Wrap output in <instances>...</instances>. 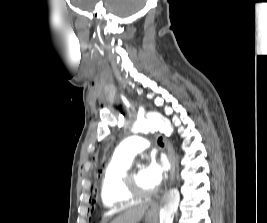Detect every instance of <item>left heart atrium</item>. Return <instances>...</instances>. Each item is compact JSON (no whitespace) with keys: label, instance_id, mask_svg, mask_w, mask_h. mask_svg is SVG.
Returning a JSON list of instances; mask_svg holds the SVG:
<instances>
[{"label":"left heart atrium","instance_id":"obj_1","mask_svg":"<svg viewBox=\"0 0 267 223\" xmlns=\"http://www.w3.org/2000/svg\"><path fill=\"white\" fill-rule=\"evenodd\" d=\"M169 163L166 158L161 157L159 159L153 158L145 168V176L147 181L154 187L158 188L166 172L168 171Z\"/></svg>","mask_w":267,"mask_h":223}]
</instances>
